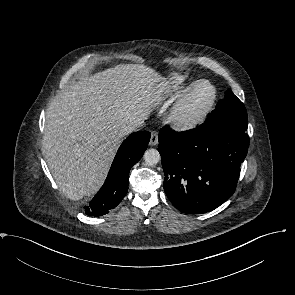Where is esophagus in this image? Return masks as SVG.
Wrapping results in <instances>:
<instances>
[{"label":"esophagus","mask_w":295,"mask_h":295,"mask_svg":"<svg viewBox=\"0 0 295 295\" xmlns=\"http://www.w3.org/2000/svg\"><path fill=\"white\" fill-rule=\"evenodd\" d=\"M157 144H158V132L157 131H153L151 133V138H150L149 145L150 146H156Z\"/></svg>","instance_id":"obj_1"}]
</instances>
